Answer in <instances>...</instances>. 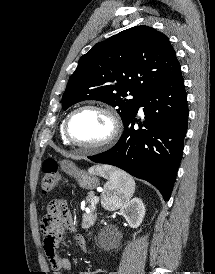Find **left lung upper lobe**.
Here are the masks:
<instances>
[{
	"mask_svg": "<svg viewBox=\"0 0 215 274\" xmlns=\"http://www.w3.org/2000/svg\"><path fill=\"white\" fill-rule=\"evenodd\" d=\"M180 64L169 39L149 26H136L95 44L78 62L62 97V108L83 100L113 107L124 122L153 88ZM132 95V99H127Z\"/></svg>",
	"mask_w": 215,
	"mask_h": 274,
	"instance_id": "obj_1",
	"label": "left lung upper lobe"
}]
</instances>
